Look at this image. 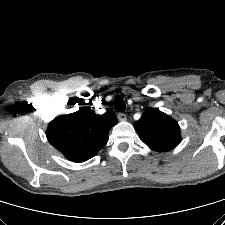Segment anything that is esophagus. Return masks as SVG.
Here are the masks:
<instances>
[{
  "label": "esophagus",
  "instance_id": "obj_1",
  "mask_svg": "<svg viewBox=\"0 0 225 225\" xmlns=\"http://www.w3.org/2000/svg\"><path fill=\"white\" fill-rule=\"evenodd\" d=\"M117 117L120 121H126L127 120V116L124 113H118Z\"/></svg>",
  "mask_w": 225,
  "mask_h": 225
}]
</instances>
